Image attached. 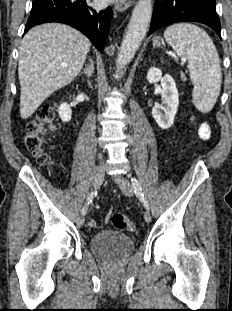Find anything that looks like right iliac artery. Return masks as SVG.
I'll use <instances>...</instances> for the list:
<instances>
[{
	"mask_svg": "<svg viewBox=\"0 0 232 311\" xmlns=\"http://www.w3.org/2000/svg\"><path fill=\"white\" fill-rule=\"evenodd\" d=\"M96 195H97V191H92V192L88 195L87 204H86V206H84V207L82 208V210H81V214H82V215H85V214H86L88 205H89L90 203H92V201H93L94 197H96Z\"/></svg>",
	"mask_w": 232,
	"mask_h": 311,
	"instance_id": "right-iliac-artery-1",
	"label": "right iliac artery"
}]
</instances>
